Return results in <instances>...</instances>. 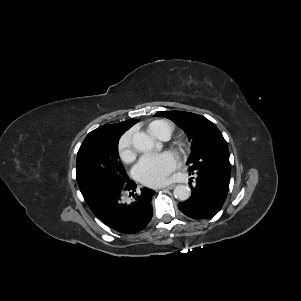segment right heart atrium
Listing matches in <instances>:
<instances>
[{"label":"right heart atrium","mask_w":301,"mask_h":301,"mask_svg":"<svg viewBox=\"0 0 301 301\" xmlns=\"http://www.w3.org/2000/svg\"><path fill=\"white\" fill-rule=\"evenodd\" d=\"M118 152L121 160L125 163H131L136 158V151L133 146L132 131H127L121 135L118 141Z\"/></svg>","instance_id":"obj_1"}]
</instances>
